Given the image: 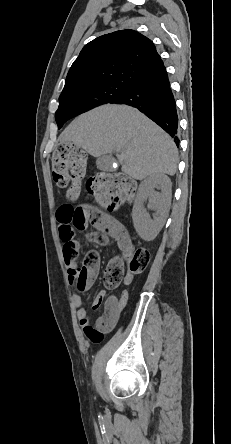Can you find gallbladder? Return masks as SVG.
<instances>
[{"label":"gallbladder","instance_id":"obj_1","mask_svg":"<svg viewBox=\"0 0 231 444\" xmlns=\"http://www.w3.org/2000/svg\"><path fill=\"white\" fill-rule=\"evenodd\" d=\"M105 159H108V157H107V156H102V157H100V158L98 159V161H97V167H98L99 169H101V170L105 169V167L103 166V161H104Z\"/></svg>","mask_w":231,"mask_h":444}]
</instances>
